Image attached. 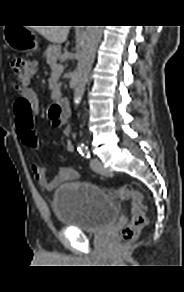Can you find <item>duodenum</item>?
Instances as JSON below:
<instances>
[{"mask_svg": "<svg viewBox=\"0 0 184 292\" xmlns=\"http://www.w3.org/2000/svg\"><path fill=\"white\" fill-rule=\"evenodd\" d=\"M49 113L56 120L65 121L70 115L69 103L65 99H58L50 107Z\"/></svg>", "mask_w": 184, "mask_h": 292, "instance_id": "duodenum-1", "label": "duodenum"}]
</instances>
